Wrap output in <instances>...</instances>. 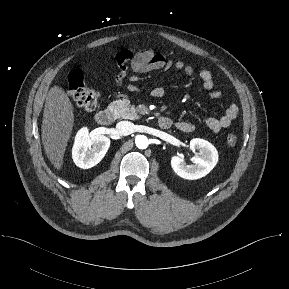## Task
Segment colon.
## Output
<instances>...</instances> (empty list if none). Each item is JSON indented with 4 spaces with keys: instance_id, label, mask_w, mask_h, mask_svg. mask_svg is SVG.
Masks as SVG:
<instances>
[{
    "instance_id": "5ec220e1",
    "label": "colon",
    "mask_w": 289,
    "mask_h": 289,
    "mask_svg": "<svg viewBox=\"0 0 289 289\" xmlns=\"http://www.w3.org/2000/svg\"><path fill=\"white\" fill-rule=\"evenodd\" d=\"M67 94L85 110H95L99 105V94L89 88L85 81L83 73L80 70H74L68 77ZM228 145L235 146L237 136L230 133L226 137Z\"/></svg>"
}]
</instances>
